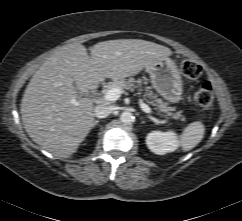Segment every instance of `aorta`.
Segmentation results:
<instances>
[{
	"label": "aorta",
	"instance_id": "aorta-1",
	"mask_svg": "<svg viewBox=\"0 0 242 221\" xmlns=\"http://www.w3.org/2000/svg\"><path fill=\"white\" fill-rule=\"evenodd\" d=\"M120 121L125 124H129L133 121V116L131 112L125 111L120 115Z\"/></svg>",
	"mask_w": 242,
	"mask_h": 221
}]
</instances>
